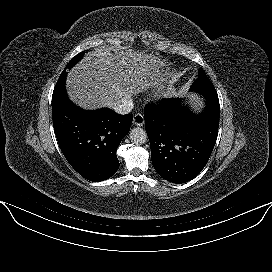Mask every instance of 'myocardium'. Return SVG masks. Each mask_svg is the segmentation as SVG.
Masks as SVG:
<instances>
[{
  "instance_id": "1",
  "label": "myocardium",
  "mask_w": 272,
  "mask_h": 272,
  "mask_svg": "<svg viewBox=\"0 0 272 272\" xmlns=\"http://www.w3.org/2000/svg\"><path fill=\"white\" fill-rule=\"evenodd\" d=\"M157 98L159 100H163L165 98V92L164 91H161L157 94Z\"/></svg>"
}]
</instances>
